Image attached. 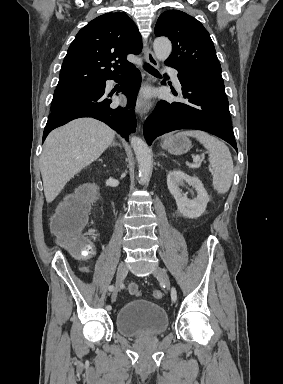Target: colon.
<instances>
[{
    "label": "colon",
    "instance_id": "5ec220e1",
    "mask_svg": "<svg viewBox=\"0 0 283 384\" xmlns=\"http://www.w3.org/2000/svg\"><path fill=\"white\" fill-rule=\"evenodd\" d=\"M89 208L90 194L86 190H81L68 196L51 218L54 233L62 238L72 254L79 258H90L94 253L91 243L81 233L87 223ZM130 292L137 294L138 290L134 287L130 288ZM162 296L160 290L152 292L154 299L159 300Z\"/></svg>",
    "mask_w": 283,
    "mask_h": 384
}]
</instances>
